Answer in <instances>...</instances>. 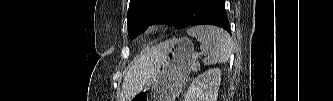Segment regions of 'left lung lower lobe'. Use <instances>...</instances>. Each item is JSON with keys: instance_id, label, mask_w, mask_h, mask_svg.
<instances>
[{"instance_id": "left-lung-lower-lobe-1", "label": "left lung lower lobe", "mask_w": 333, "mask_h": 101, "mask_svg": "<svg viewBox=\"0 0 333 101\" xmlns=\"http://www.w3.org/2000/svg\"><path fill=\"white\" fill-rule=\"evenodd\" d=\"M182 2L184 5L182 22L177 24V29L209 24L219 26L231 33L224 0H182Z\"/></svg>"}]
</instances>
